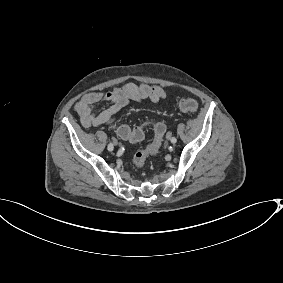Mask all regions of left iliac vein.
<instances>
[{
	"label": "left iliac vein",
	"instance_id": "left-iliac-vein-1",
	"mask_svg": "<svg viewBox=\"0 0 283 283\" xmlns=\"http://www.w3.org/2000/svg\"><path fill=\"white\" fill-rule=\"evenodd\" d=\"M172 136V133H170V132H168L167 134H166V138L168 139V140H171V137Z\"/></svg>",
	"mask_w": 283,
	"mask_h": 283
}]
</instances>
